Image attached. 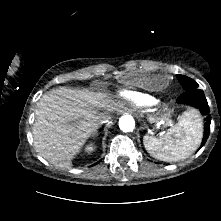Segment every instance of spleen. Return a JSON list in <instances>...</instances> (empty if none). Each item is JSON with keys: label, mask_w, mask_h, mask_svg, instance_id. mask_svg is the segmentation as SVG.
Masks as SVG:
<instances>
[{"label": "spleen", "mask_w": 221, "mask_h": 221, "mask_svg": "<svg viewBox=\"0 0 221 221\" xmlns=\"http://www.w3.org/2000/svg\"><path fill=\"white\" fill-rule=\"evenodd\" d=\"M202 136V119L197 110L189 109L165 135L159 138L145 135L143 143L152 157L176 162L189 157L199 146Z\"/></svg>", "instance_id": "obj_1"}]
</instances>
